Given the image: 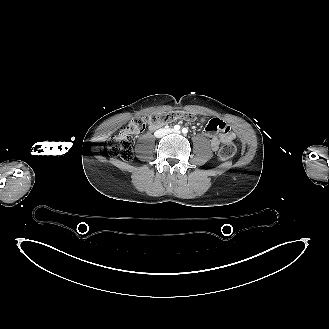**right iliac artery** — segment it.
I'll return each instance as SVG.
<instances>
[{
  "label": "right iliac artery",
  "mask_w": 329,
  "mask_h": 329,
  "mask_svg": "<svg viewBox=\"0 0 329 329\" xmlns=\"http://www.w3.org/2000/svg\"><path fill=\"white\" fill-rule=\"evenodd\" d=\"M180 128H181L180 125H175V126H174V129H175L176 131H179Z\"/></svg>",
  "instance_id": "right-iliac-artery-1"
}]
</instances>
